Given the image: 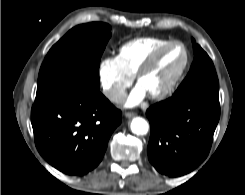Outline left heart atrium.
I'll use <instances>...</instances> for the list:
<instances>
[{
    "label": "left heart atrium",
    "instance_id": "1",
    "mask_svg": "<svg viewBox=\"0 0 245 195\" xmlns=\"http://www.w3.org/2000/svg\"><path fill=\"white\" fill-rule=\"evenodd\" d=\"M145 90L138 84L128 97L126 105L132 107L137 105L145 97Z\"/></svg>",
    "mask_w": 245,
    "mask_h": 195
}]
</instances>
